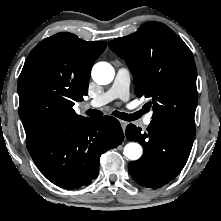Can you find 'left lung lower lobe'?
<instances>
[{
  "instance_id": "obj_1",
  "label": "left lung lower lobe",
  "mask_w": 221,
  "mask_h": 221,
  "mask_svg": "<svg viewBox=\"0 0 221 221\" xmlns=\"http://www.w3.org/2000/svg\"><path fill=\"white\" fill-rule=\"evenodd\" d=\"M126 137L144 148L143 156L128 164L132 178L144 187L159 188L173 180L185 166L195 132L152 120L144 133L141 128L129 124Z\"/></svg>"
}]
</instances>
